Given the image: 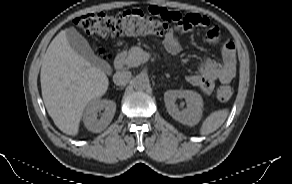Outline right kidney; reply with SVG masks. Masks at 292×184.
I'll list each match as a JSON object with an SVG mask.
<instances>
[{
	"label": "right kidney",
	"mask_w": 292,
	"mask_h": 184,
	"mask_svg": "<svg viewBox=\"0 0 292 184\" xmlns=\"http://www.w3.org/2000/svg\"><path fill=\"white\" fill-rule=\"evenodd\" d=\"M102 113L98 119V112ZM116 111V103L112 100L95 99L86 107L83 114V122L85 127L94 133L103 131L112 121Z\"/></svg>",
	"instance_id": "right-kidney-1"
}]
</instances>
